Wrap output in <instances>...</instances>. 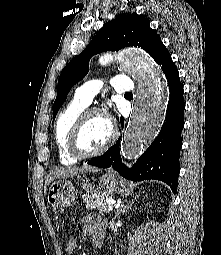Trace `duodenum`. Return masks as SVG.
Segmentation results:
<instances>
[{"label": "duodenum", "instance_id": "obj_1", "mask_svg": "<svg viewBox=\"0 0 221 255\" xmlns=\"http://www.w3.org/2000/svg\"><path fill=\"white\" fill-rule=\"evenodd\" d=\"M94 245H95L96 248H100L101 245H102V239L96 238V239L94 240Z\"/></svg>", "mask_w": 221, "mask_h": 255}]
</instances>
